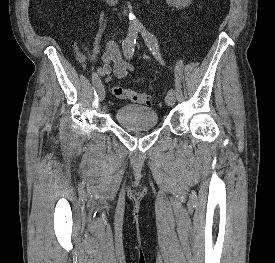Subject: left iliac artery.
<instances>
[{"mask_svg":"<svg viewBox=\"0 0 275 263\" xmlns=\"http://www.w3.org/2000/svg\"><path fill=\"white\" fill-rule=\"evenodd\" d=\"M139 30L146 42V45L148 46V48L150 49L152 54L156 57V59L157 58L160 59L159 45H158L156 37L153 34H151L150 32H148L144 27H140ZM168 94L175 95V91L173 89H170L168 91Z\"/></svg>","mask_w":275,"mask_h":263,"instance_id":"44dca946","label":"left iliac artery"}]
</instances>
